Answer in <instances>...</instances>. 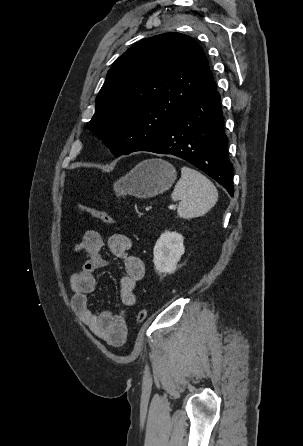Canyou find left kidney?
Listing matches in <instances>:
<instances>
[{
    "mask_svg": "<svg viewBox=\"0 0 303 446\" xmlns=\"http://www.w3.org/2000/svg\"><path fill=\"white\" fill-rule=\"evenodd\" d=\"M183 236L176 232L166 231L157 240L153 254L154 265L159 274H171L185 252Z\"/></svg>",
    "mask_w": 303,
    "mask_h": 446,
    "instance_id": "5707ae66",
    "label": "left kidney"
}]
</instances>
